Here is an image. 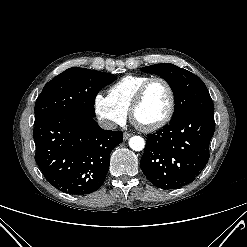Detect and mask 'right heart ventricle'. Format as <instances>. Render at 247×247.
Returning <instances> with one entry per match:
<instances>
[{
    "label": "right heart ventricle",
    "mask_w": 247,
    "mask_h": 247,
    "mask_svg": "<svg viewBox=\"0 0 247 247\" xmlns=\"http://www.w3.org/2000/svg\"><path fill=\"white\" fill-rule=\"evenodd\" d=\"M149 78L147 75L124 76L109 88L108 95L118 106L128 111L136 92Z\"/></svg>",
    "instance_id": "1"
}]
</instances>
